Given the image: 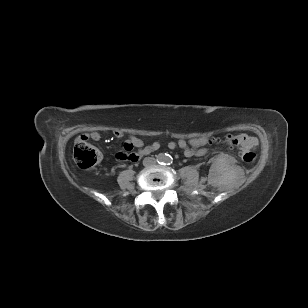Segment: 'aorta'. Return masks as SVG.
<instances>
[{
	"instance_id": "762f6f07",
	"label": "aorta",
	"mask_w": 308,
	"mask_h": 308,
	"mask_svg": "<svg viewBox=\"0 0 308 308\" xmlns=\"http://www.w3.org/2000/svg\"><path fill=\"white\" fill-rule=\"evenodd\" d=\"M163 160L167 163L170 164L172 162V157L171 156H163Z\"/></svg>"
}]
</instances>
